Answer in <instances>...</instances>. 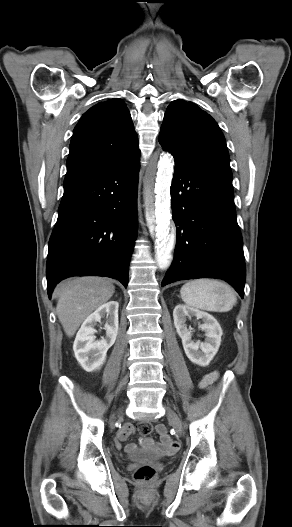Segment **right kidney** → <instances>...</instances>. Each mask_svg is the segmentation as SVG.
Wrapping results in <instances>:
<instances>
[{"label":"right kidney","mask_w":292,"mask_h":527,"mask_svg":"<svg viewBox=\"0 0 292 527\" xmlns=\"http://www.w3.org/2000/svg\"><path fill=\"white\" fill-rule=\"evenodd\" d=\"M117 301H110L100 306L89 315L78 331L73 350L77 361L87 372L100 369L106 360L107 350L114 344L118 333ZM102 318H107L104 326L106 335L101 340H95V326Z\"/></svg>","instance_id":"obj_1"}]
</instances>
